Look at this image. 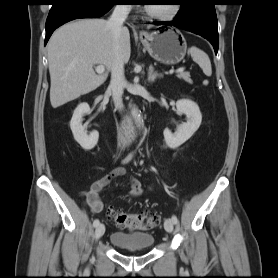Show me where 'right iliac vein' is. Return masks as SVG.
<instances>
[{"label":"right iliac vein","mask_w":278,"mask_h":278,"mask_svg":"<svg viewBox=\"0 0 278 278\" xmlns=\"http://www.w3.org/2000/svg\"><path fill=\"white\" fill-rule=\"evenodd\" d=\"M105 232V226L103 224H99L95 230V238L100 239Z\"/></svg>","instance_id":"obj_1"}]
</instances>
